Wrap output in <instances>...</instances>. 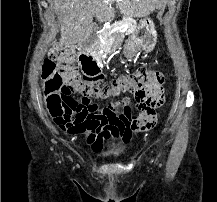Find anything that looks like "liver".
Wrapping results in <instances>:
<instances>
[{"label":"liver","instance_id":"1","mask_svg":"<svg viewBox=\"0 0 217 202\" xmlns=\"http://www.w3.org/2000/svg\"><path fill=\"white\" fill-rule=\"evenodd\" d=\"M58 14L61 24L60 46L86 42L94 30L93 18L107 22L113 18V2L125 18H144L161 10L166 0H47Z\"/></svg>","mask_w":217,"mask_h":202}]
</instances>
